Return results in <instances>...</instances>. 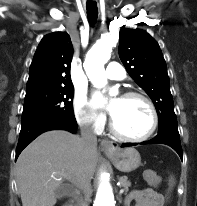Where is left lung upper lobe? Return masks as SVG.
I'll use <instances>...</instances> for the list:
<instances>
[{"label":"left lung upper lobe","instance_id":"1","mask_svg":"<svg viewBox=\"0 0 197 206\" xmlns=\"http://www.w3.org/2000/svg\"><path fill=\"white\" fill-rule=\"evenodd\" d=\"M119 56L129 75L152 99L159 118L158 134H179L166 63L158 43L146 31L123 29Z\"/></svg>","mask_w":197,"mask_h":206}]
</instances>
